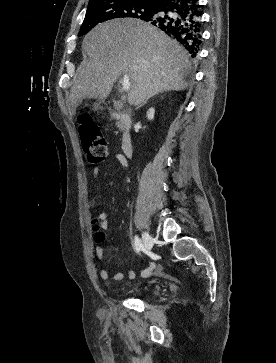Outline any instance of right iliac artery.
<instances>
[{"label": "right iliac artery", "mask_w": 276, "mask_h": 363, "mask_svg": "<svg viewBox=\"0 0 276 363\" xmlns=\"http://www.w3.org/2000/svg\"><path fill=\"white\" fill-rule=\"evenodd\" d=\"M134 247L137 253L140 252V250L143 248V244L141 240L138 238V236H135L134 238Z\"/></svg>", "instance_id": "82829eb1"}]
</instances>
